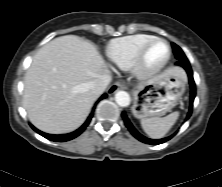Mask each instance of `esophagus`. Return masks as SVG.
Instances as JSON below:
<instances>
[{
	"instance_id": "1",
	"label": "esophagus",
	"mask_w": 222,
	"mask_h": 187,
	"mask_svg": "<svg viewBox=\"0 0 222 187\" xmlns=\"http://www.w3.org/2000/svg\"><path fill=\"white\" fill-rule=\"evenodd\" d=\"M123 88V85L122 84H120V83H118V82H116V83H114L110 88H109V93L110 94H113V93H115L116 91H118L119 89H122Z\"/></svg>"
}]
</instances>
